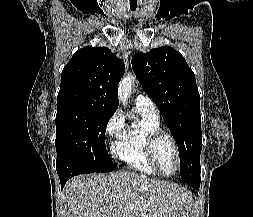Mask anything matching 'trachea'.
<instances>
[{"label": "trachea", "instance_id": "obj_1", "mask_svg": "<svg viewBox=\"0 0 253 217\" xmlns=\"http://www.w3.org/2000/svg\"><path fill=\"white\" fill-rule=\"evenodd\" d=\"M135 9H136V8H131V10H133V11H134Z\"/></svg>", "mask_w": 253, "mask_h": 217}]
</instances>
